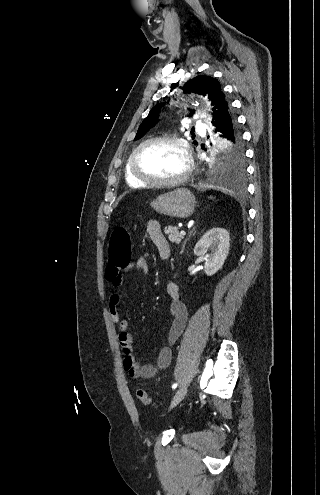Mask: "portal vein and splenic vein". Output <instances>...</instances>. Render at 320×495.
<instances>
[{"label":"portal vein and splenic vein","instance_id":"obj_1","mask_svg":"<svg viewBox=\"0 0 320 495\" xmlns=\"http://www.w3.org/2000/svg\"><path fill=\"white\" fill-rule=\"evenodd\" d=\"M180 234L181 235H186V232L185 231H181Z\"/></svg>","mask_w":320,"mask_h":495}]
</instances>
